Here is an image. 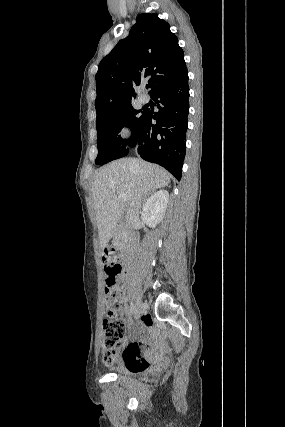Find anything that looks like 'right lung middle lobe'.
<instances>
[{
    "label": "right lung middle lobe",
    "instance_id": "1",
    "mask_svg": "<svg viewBox=\"0 0 285 427\" xmlns=\"http://www.w3.org/2000/svg\"><path fill=\"white\" fill-rule=\"evenodd\" d=\"M140 112L141 110H136L131 105L96 124L97 165H103L126 156L129 153V147H134L137 144L145 118V112H142V114ZM125 126L130 127L133 132L131 138L128 140H124L118 134Z\"/></svg>",
    "mask_w": 285,
    "mask_h": 427
}]
</instances>
